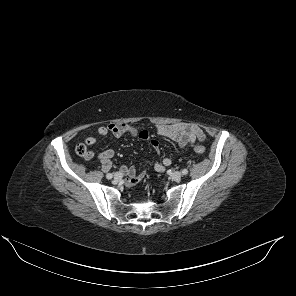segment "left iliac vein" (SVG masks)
I'll list each match as a JSON object with an SVG mask.
<instances>
[{
	"instance_id": "left-iliac-vein-1",
	"label": "left iliac vein",
	"mask_w": 296,
	"mask_h": 296,
	"mask_svg": "<svg viewBox=\"0 0 296 296\" xmlns=\"http://www.w3.org/2000/svg\"><path fill=\"white\" fill-rule=\"evenodd\" d=\"M170 177H171V179L174 180V181H179V180L181 179V177H182V174H181V172H179V171H175V172H172V173L170 174Z\"/></svg>"
}]
</instances>
